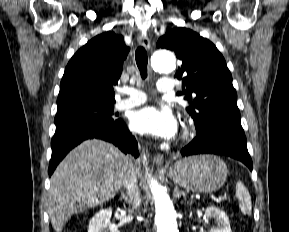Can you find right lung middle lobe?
<instances>
[{"label":"right lung middle lobe","instance_id":"1","mask_svg":"<svg viewBox=\"0 0 289 232\" xmlns=\"http://www.w3.org/2000/svg\"><path fill=\"white\" fill-rule=\"evenodd\" d=\"M113 105L108 104H84L74 105L58 109L54 123L56 127L70 124H112Z\"/></svg>","mask_w":289,"mask_h":232}]
</instances>
